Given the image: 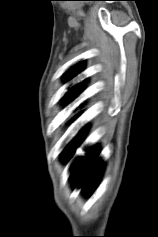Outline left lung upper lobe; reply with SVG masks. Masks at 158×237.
I'll use <instances>...</instances> for the list:
<instances>
[{
    "instance_id": "5c2ea615",
    "label": "left lung upper lobe",
    "mask_w": 158,
    "mask_h": 237,
    "mask_svg": "<svg viewBox=\"0 0 158 237\" xmlns=\"http://www.w3.org/2000/svg\"><path fill=\"white\" fill-rule=\"evenodd\" d=\"M83 67L82 64H77L75 65L73 68H71L68 71L67 76H71L72 74H74L76 71L80 70ZM83 86L82 84H76L75 86H73L71 89H69V91L65 94L64 98H63V103L64 104H68L71 101H73L81 92Z\"/></svg>"
}]
</instances>
